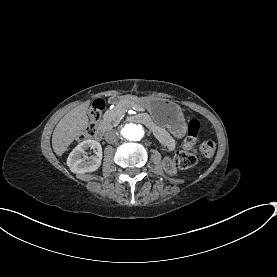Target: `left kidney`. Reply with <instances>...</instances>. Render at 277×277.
<instances>
[{
	"instance_id": "left-kidney-1",
	"label": "left kidney",
	"mask_w": 277,
	"mask_h": 277,
	"mask_svg": "<svg viewBox=\"0 0 277 277\" xmlns=\"http://www.w3.org/2000/svg\"><path fill=\"white\" fill-rule=\"evenodd\" d=\"M171 164L169 165L168 163H166L165 159L162 160V166H163V170L165 171V173L167 175L170 176H175L177 175V168L176 166L172 163V160L170 159Z\"/></svg>"
}]
</instances>
